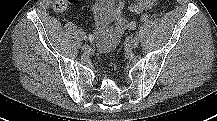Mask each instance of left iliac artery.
<instances>
[{
    "instance_id": "44dca946",
    "label": "left iliac artery",
    "mask_w": 217,
    "mask_h": 121,
    "mask_svg": "<svg viewBox=\"0 0 217 121\" xmlns=\"http://www.w3.org/2000/svg\"><path fill=\"white\" fill-rule=\"evenodd\" d=\"M141 22L143 23H149L151 22V17L148 14H144L141 16Z\"/></svg>"
}]
</instances>
